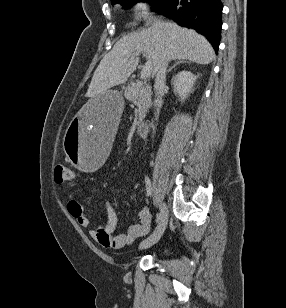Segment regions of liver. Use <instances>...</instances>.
I'll return each mask as SVG.
<instances>
[{
  "label": "liver",
  "mask_w": 286,
  "mask_h": 308,
  "mask_svg": "<svg viewBox=\"0 0 286 308\" xmlns=\"http://www.w3.org/2000/svg\"><path fill=\"white\" fill-rule=\"evenodd\" d=\"M149 23L150 27L121 38L102 58L86 94L92 102L127 81L138 66L139 59L134 56L137 51L144 52L152 62L153 75L168 57L204 65L215 58L210 43L197 32L157 18L149 19Z\"/></svg>",
  "instance_id": "6515ba94"
}]
</instances>
